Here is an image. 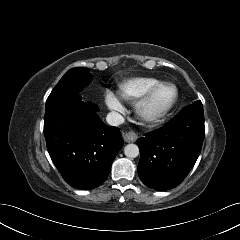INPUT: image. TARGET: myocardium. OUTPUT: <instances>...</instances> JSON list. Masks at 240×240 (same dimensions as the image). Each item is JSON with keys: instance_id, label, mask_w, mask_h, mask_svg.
I'll return each mask as SVG.
<instances>
[{"instance_id": "f54148a6", "label": "myocardium", "mask_w": 240, "mask_h": 240, "mask_svg": "<svg viewBox=\"0 0 240 240\" xmlns=\"http://www.w3.org/2000/svg\"><path fill=\"white\" fill-rule=\"evenodd\" d=\"M172 87L175 90V95L172 101L163 110L158 112H151L149 110V104L153 96L162 88ZM179 100V89L171 82H161L151 87L143 96H141L136 104L135 111L139 119L147 123H156L164 119L176 106Z\"/></svg>"}]
</instances>
